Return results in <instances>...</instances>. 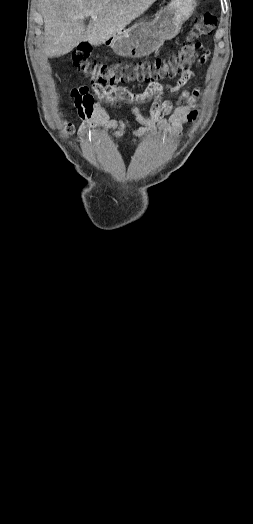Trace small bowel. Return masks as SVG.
<instances>
[{"label": "small bowel", "mask_w": 253, "mask_h": 524, "mask_svg": "<svg viewBox=\"0 0 253 524\" xmlns=\"http://www.w3.org/2000/svg\"><path fill=\"white\" fill-rule=\"evenodd\" d=\"M195 41H198V38H195ZM194 49L201 51L203 46L196 44ZM206 58V54L202 55L199 62L205 61ZM190 76L191 72L189 70L184 71L180 79V84L185 83ZM167 89L176 90L177 87H168L158 82H152L145 91L140 93H132L120 86H114L110 90L94 89L98 100L93 102L90 115L87 116L86 121L80 126L81 138L91 141L97 136L99 129L102 128L118 141H124L125 134L128 131H130L136 139H141L145 135H155L157 126H159V131L162 136H180L183 131V122L188 114V107L186 105H180V103L186 102L188 105L194 103L195 95L184 94L179 104L174 105L170 101L162 98L164 90ZM88 90L87 86H80L78 89H71L69 95L75 99L76 104H78L82 100L91 99ZM151 98H154V103L150 111V117L146 118L141 115L138 105ZM105 100L112 103H128L132 114L139 122L144 124V127L134 129L127 118L110 120L108 113L101 105V102ZM167 115H170L169 118H166Z\"/></svg>", "instance_id": "small-bowel-1"}]
</instances>
